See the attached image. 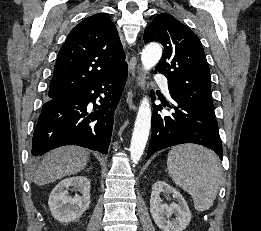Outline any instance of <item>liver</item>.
<instances>
[{
  "label": "liver",
  "mask_w": 261,
  "mask_h": 231,
  "mask_svg": "<svg viewBox=\"0 0 261 231\" xmlns=\"http://www.w3.org/2000/svg\"><path fill=\"white\" fill-rule=\"evenodd\" d=\"M89 158L88 150L78 146L54 149L44 156L34 174L33 182L41 186L76 174L86 167Z\"/></svg>",
  "instance_id": "1"
}]
</instances>
